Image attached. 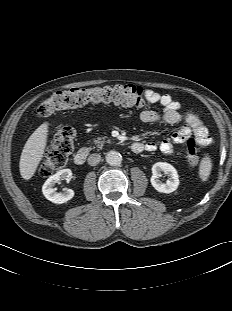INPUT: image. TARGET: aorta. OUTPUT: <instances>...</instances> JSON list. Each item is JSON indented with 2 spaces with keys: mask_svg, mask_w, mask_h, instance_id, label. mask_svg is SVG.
<instances>
[{
  "mask_svg": "<svg viewBox=\"0 0 232 311\" xmlns=\"http://www.w3.org/2000/svg\"><path fill=\"white\" fill-rule=\"evenodd\" d=\"M121 161H122V156L117 151L111 150L106 154V162L111 166H117L121 164Z\"/></svg>",
  "mask_w": 232,
  "mask_h": 311,
  "instance_id": "762f6f07",
  "label": "aorta"
}]
</instances>
